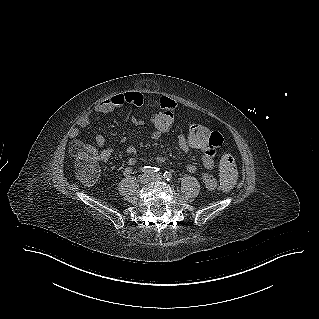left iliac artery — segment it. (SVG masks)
Here are the masks:
<instances>
[{
    "mask_svg": "<svg viewBox=\"0 0 319 319\" xmlns=\"http://www.w3.org/2000/svg\"><path fill=\"white\" fill-rule=\"evenodd\" d=\"M165 180L171 181L173 179L172 173L170 171H165L163 174Z\"/></svg>",
    "mask_w": 319,
    "mask_h": 319,
    "instance_id": "left-iliac-artery-1",
    "label": "left iliac artery"
}]
</instances>
